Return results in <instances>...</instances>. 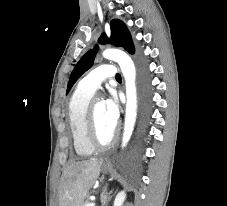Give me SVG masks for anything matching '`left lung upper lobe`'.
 Listing matches in <instances>:
<instances>
[{"label":"left lung upper lobe","instance_id":"obj_1","mask_svg":"<svg viewBox=\"0 0 227 206\" xmlns=\"http://www.w3.org/2000/svg\"><path fill=\"white\" fill-rule=\"evenodd\" d=\"M111 36L108 40L105 33H103L98 42L100 44H105L110 42L112 45L116 47H122L127 50L130 54L135 53V48L131 39V35L126 27V25L117 19H114L110 23ZM97 47L94 50H89L86 54L82 56V58L78 61L76 66L74 67L69 82L67 86V92L70 91L74 83L78 80V78L85 73L88 69H90L94 63L95 55H96Z\"/></svg>","mask_w":227,"mask_h":206}]
</instances>
